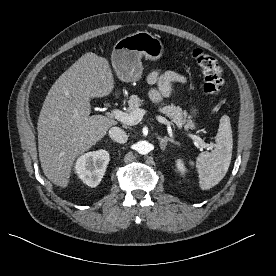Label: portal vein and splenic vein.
Instances as JSON below:
<instances>
[{"instance_id":"18ae733b","label":"portal vein and splenic vein","mask_w":276,"mask_h":276,"mask_svg":"<svg viewBox=\"0 0 276 276\" xmlns=\"http://www.w3.org/2000/svg\"><path fill=\"white\" fill-rule=\"evenodd\" d=\"M110 114L113 117H115V119H117L118 121H120L124 124L136 125L142 120L143 116L146 114V110L139 108V109L134 110L131 113H126L119 109H113ZM155 119L162 124L170 126V122L165 117L156 115ZM188 136L191 139L195 140L202 148H206L207 150H212V148L214 147V145L212 143H210V144L206 143L202 138H200L197 135L189 133Z\"/></svg>"}]
</instances>
